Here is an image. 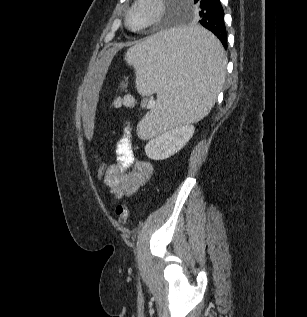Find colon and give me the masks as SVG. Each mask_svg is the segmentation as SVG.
<instances>
[{
    "mask_svg": "<svg viewBox=\"0 0 307 317\" xmlns=\"http://www.w3.org/2000/svg\"><path fill=\"white\" fill-rule=\"evenodd\" d=\"M96 174L99 178H104L107 170V163L100 158H95ZM116 215L118 222L122 225L126 224L129 218V211L125 204H118L116 207Z\"/></svg>",
    "mask_w": 307,
    "mask_h": 317,
    "instance_id": "5ec220e1",
    "label": "colon"
}]
</instances>
